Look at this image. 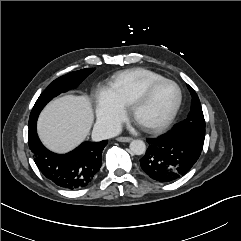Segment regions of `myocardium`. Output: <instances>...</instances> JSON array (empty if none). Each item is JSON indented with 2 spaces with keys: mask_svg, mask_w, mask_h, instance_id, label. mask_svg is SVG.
Masks as SVG:
<instances>
[{
  "mask_svg": "<svg viewBox=\"0 0 241 241\" xmlns=\"http://www.w3.org/2000/svg\"><path fill=\"white\" fill-rule=\"evenodd\" d=\"M165 83L173 84L177 88L178 99H177L176 105H175L174 109L172 110L171 114L162 123L140 124L144 129L151 131V132H162V131L166 130L167 128H169L172 125V123L175 121V119L180 111L182 102H183V93H182L181 87L178 85V83H176L175 81H173L171 79L164 78L161 80H157V81H154V82L150 83L149 85H147L130 104V114H131L132 118H134L136 120L135 117H136L137 110L148 100V98L151 96V94L157 87H159L160 85L165 84Z\"/></svg>",
  "mask_w": 241,
  "mask_h": 241,
  "instance_id": "f54148a6",
  "label": "myocardium"
}]
</instances>
